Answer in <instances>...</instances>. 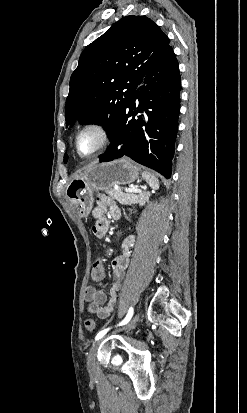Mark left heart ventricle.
I'll list each match as a JSON object with an SVG mask.
<instances>
[{
  "label": "left heart ventricle",
  "mask_w": 247,
  "mask_h": 413,
  "mask_svg": "<svg viewBox=\"0 0 247 413\" xmlns=\"http://www.w3.org/2000/svg\"><path fill=\"white\" fill-rule=\"evenodd\" d=\"M101 142L99 132L89 130L84 132L80 137V147L84 154L91 153Z\"/></svg>",
  "instance_id": "obj_1"
}]
</instances>
